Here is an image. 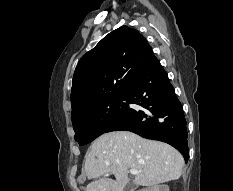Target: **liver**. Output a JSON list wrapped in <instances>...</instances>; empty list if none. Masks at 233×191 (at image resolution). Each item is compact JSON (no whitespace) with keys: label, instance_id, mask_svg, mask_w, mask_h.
Here are the masks:
<instances>
[{"label":"liver","instance_id":"1","mask_svg":"<svg viewBox=\"0 0 233 191\" xmlns=\"http://www.w3.org/2000/svg\"><path fill=\"white\" fill-rule=\"evenodd\" d=\"M184 159L172 146L142 138L129 131H113L98 137L85 157L89 180L86 191H124L129 169L141 173L134 177L137 186H154L178 180ZM113 174L115 180L107 178Z\"/></svg>","mask_w":233,"mask_h":191}]
</instances>
